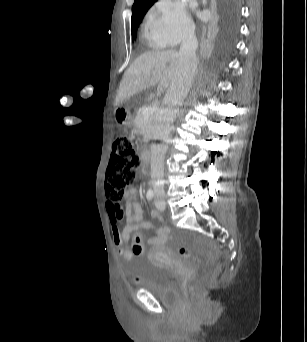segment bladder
<instances>
[{
    "label": "bladder",
    "instance_id": "31cf9c89",
    "mask_svg": "<svg viewBox=\"0 0 307 342\" xmlns=\"http://www.w3.org/2000/svg\"><path fill=\"white\" fill-rule=\"evenodd\" d=\"M178 274L169 266L152 263L140 277L142 289L158 297H168L179 288Z\"/></svg>",
    "mask_w": 307,
    "mask_h": 342
}]
</instances>
